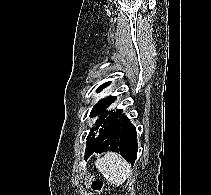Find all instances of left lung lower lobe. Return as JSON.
Returning a JSON list of instances; mask_svg holds the SVG:
<instances>
[{"label":"left lung lower lobe","mask_w":211,"mask_h":195,"mask_svg":"<svg viewBox=\"0 0 211 195\" xmlns=\"http://www.w3.org/2000/svg\"><path fill=\"white\" fill-rule=\"evenodd\" d=\"M137 133L125 114H120L103 129L96 145L87 153L85 159L93 153L113 151L119 153L132 165L137 157Z\"/></svg>","instance_id":"obj_1"}]
</instances>
